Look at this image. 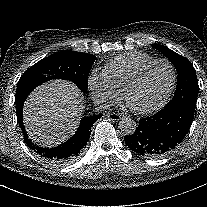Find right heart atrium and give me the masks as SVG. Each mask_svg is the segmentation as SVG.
Returning a JSON list of instances; mask_svg holds the SVG:
<instances>
[{
  "label": "right heart atrium",
  "instance_id": "right-heart-atrium-1",
  "mask_svg": "<svg viewBox=\"0 0 207 207\" xmlns=\"http://www.w3.org/2000/svg\"><path fill=\"white\" fill-rule=\"evenodd\" d=\"M87 86L94 102L105 108L114 105L120 96L104 75L97 71H92L89 74Z\"/></svg>",
  "mask_w": 207,
  "mask_h": 207
}]
</instances>
